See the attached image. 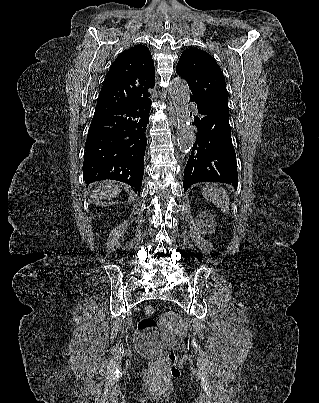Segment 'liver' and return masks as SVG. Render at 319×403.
Listing matches in <instances>:
<instances>
[{
    "mask_svg": "<svg viewBox=\"0 0 319 403\" xmlns=\"http://www.w3.org/2000/svg\"><path fill=\"white\" fill-rule=\"evenodd\" d=\"M120 193L118 185L111 181L98 183L92 191V198L95 200L111 199Z\"/></svg>",
    "mask_w": 319,
    "mask_h": 403,
    "instance_id": "6515ba94",
    "label": "liver"
}]
</instances>
